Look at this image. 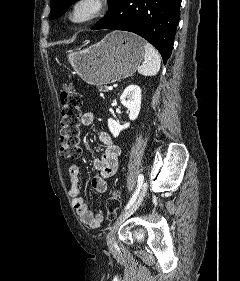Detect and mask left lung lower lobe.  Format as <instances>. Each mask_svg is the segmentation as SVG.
Masks as SVG:
<instances>
[{
  "instance_id": "left-lung-lower-lobe-1",
  "label": "left lung lower lobe",
  "mask_w": 240,
  "mask_h": 281,
  "mask_svg": "<svg viewBox=\"0 0 240 281\" xmlns=\"http://www.w3.org/2000/svg\"><path fill=\"white\" fill-rule=\"evenodd\" d=\"M181 0H115L92 30L134 32L157 48L164 62L173 49Z\"/></svg>"
}]
</instances>
